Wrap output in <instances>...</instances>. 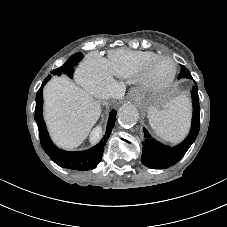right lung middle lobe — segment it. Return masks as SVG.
Returning a JSON list of instances; mask_svg holds the SVG:
<instances>
[{"label":"right lung middle lobe","instance_id":"right-lung-middle-lobe-1","mask_svg":"<svg viewBox=\"0 0 227 227\" xmlns=\"http://www.w3.org/2000/svg\"><path fill=\"white\" fill-rule=\"evenodd\" d=\"M83 55L81 53H76L75 55H72L61 67L54 69L52 72V75H61V74H65L67 76H69L70 78H72V74L74 72L73 68L74 66L77 64L78 61H80L82 59ZM51 78V75L48 76L42 85H45L49 79Z\"/></svg>","mask_w":227,"mask_h":227}]
</instances>
